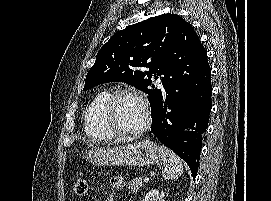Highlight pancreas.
Segmentation results:
<instances>
[{"instance_id":"1","label":"pancreas","mask_w":271,"mask_h":201,"mask_svg":"<svg viewBox=\"0 0 271 201\" xmlns=\"http://www.w3.org/2000/svg\"><path fill=\"white\" fill-rule=\"evenodd\" d=\"M143 182L141 178H135L128 182L127 187L131 189L132 192H136L142 186Z\"/></svg>"}]
</instances>
